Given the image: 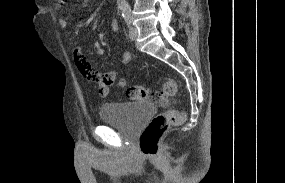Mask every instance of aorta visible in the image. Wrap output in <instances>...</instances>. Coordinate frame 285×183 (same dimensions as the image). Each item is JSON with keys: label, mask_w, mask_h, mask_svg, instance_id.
I'll use <instances>...</instances> for the list:
<instances>
[{"label": "aorta", "mask_w": 285, "mask_h": 183, "mask_svg": "<svg viewBox=\"0 0 285 183\" xmlns=\"http://www.w3.org/2000/svg\"><path fill=\"white\" fill-rule=\"evenodd\" d=\"M119 7L125 9L128 7V2L126 0H120Z\"/></svg>", "instance_id": "aorta-1"}]
</instances>
